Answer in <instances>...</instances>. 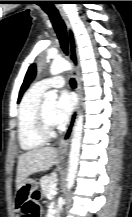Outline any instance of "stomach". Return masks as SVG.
<instances>
[{"label": "stomach", "mask_w": 132, "mask_h": 217, "mask_svg": "<svg viewBox=\"0 0 132 217\" xmlns=\"http://www.w3.org/2000/svg\"><path fill=\"white\" fill-rule=\"evenodd\" d=\"M61 161H62V159L58 158L57 162H61ZM21 188H27L29 190V193L31 194L32 192L37 190L38 182H36L35 180H32V179H27Z\"/></svg>", "instance_id": "obj_1"}]
</instances>
